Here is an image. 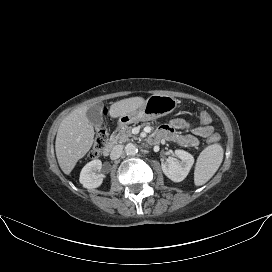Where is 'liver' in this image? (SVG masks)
Returning a JSON list of instances; mask_svg holds the SVG:
<instances>
[{"instance_id": "1", "label": "liver", "mask_w": 272, "mask_h": 272, "mask_svg": "<svg viewBox=\"0 0 272 272\" xmlns=\"http://www.w3.org/2000/svg\"><path fill=\"white\" fill-rule=\"evenodd\" d=\"M146 100L131 97L113 103L109 115L120 117L140 108ZM86 106L79 107L65 117L57 131L55 150L61 170L70 174L79 159L83 158L94 142L93 125L89 122Z\"/></svg>"}]
</instances>
